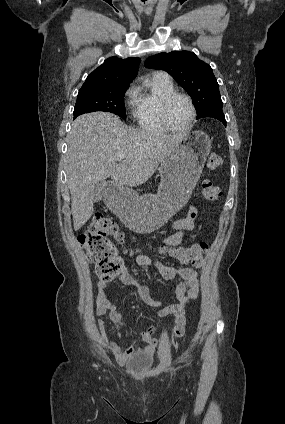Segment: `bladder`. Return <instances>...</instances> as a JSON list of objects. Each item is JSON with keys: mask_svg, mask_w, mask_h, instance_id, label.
<instances>
[{"mask_svg": "<svg viewBox=\"0 0 285 424\" xmlns=\"http://www.w3.org/2000/svg\"><path fill=\"white\" fill-rule=\"evenodd\" d=\"M153 355L150 350L139 349L132 352L127 366L134 372H139L148 367L152 362Z\"/></svg>", "mask_w": 285, "mask_h": 424, "instance_id": "bladder-1", "label": "bladder"}]
</instances>
